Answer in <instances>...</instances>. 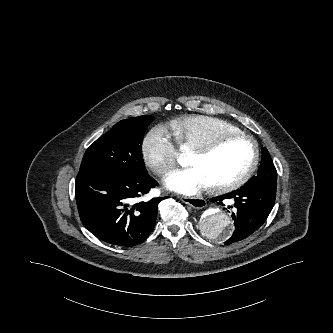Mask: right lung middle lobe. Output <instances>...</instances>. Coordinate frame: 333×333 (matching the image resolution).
I'll list each match as a JSON object with an SVG mask.
<instances>
[{
    "label": "right lung middle lobe",
    "mask_w": 333,
    "mask_h": 333,
    "mask_svg": "<svg viewBox=\"0 0 333 333\" xmlns=\"http://www.w3.org/2000/svg\"><path fill=\"white\" fill-rule=\"evenodd\" d=\"M153 120L152 116H139L118 122L86 150L79 173L146 174L142 141L145 129Z\"/></svg>",
    "instance_id": "1"
}]
</instances>
